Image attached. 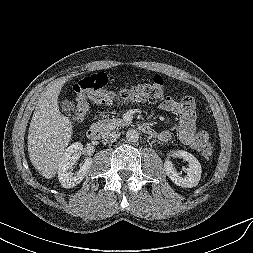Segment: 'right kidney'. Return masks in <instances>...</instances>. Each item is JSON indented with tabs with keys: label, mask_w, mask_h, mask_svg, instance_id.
<instances>
[{
	"label": "right kidney",
	"mask_w": 253,
	"mask_h": 253,
	"mask_svg": "<svg viewBox=\"0 0 253 253\" xmlns=\"http://www.w3.org/2000/svg\"><path fill=\"white\" fill-rule=\"evenodd\" d=\"M83 145L79 142L70 145L63 153L58 164V179L64 188H73L79 184L90 170L92 158L86 157L79 171L72 173L70 169L81 156Z\"/></svg>",
	"instance_id": "1"
}]
</instances>
